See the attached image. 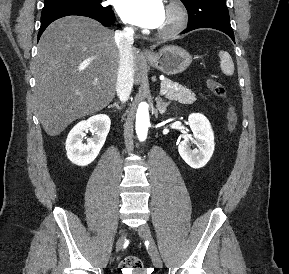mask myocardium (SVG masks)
<instances>
[{
	"mask_svg": "<svg viewBox=\"0 0 289 274\" xmlns=\"http://www.w3.org/2000/svg\"><path fill=\"white\" fill-rule=\"evenodd\" d=\"M166 9L173 14V21L170 25L159 28L157 34L161 37H173L180 33L187 25L188 13L186 7L179 0H170Z\"/></svg>",
	"mask_w": 289,
	"mask_h": 274,
	"instance_id": "obj_1",
	"label": "myocardium"
}]
</instances>
